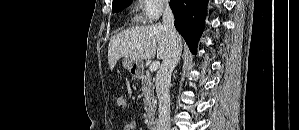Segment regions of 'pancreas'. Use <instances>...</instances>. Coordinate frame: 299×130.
<instances>
[{
    "label": "pancreas",
    "instance_id": "cf45deb5",
    "mask_svg": "<svg viewBox=\"0 0 299 130\" xmlns=\"http://www.w3.org/2000/svg\"><path fill=\"white\" fill-rule=\"evenodd\" d=\"M142 95L144 97V109L147 117H152L156 111V101L154 96V87L149 73L141 74Z\"/></svg>",
    "mask_w": 299,
    "mask_h": 130
}]
</instances>
